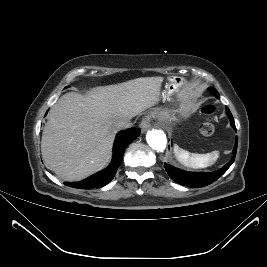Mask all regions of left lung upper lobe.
<instances>
[{
  "instance_id": "obj_1",
  "label": "left lung upper lobe",
  "mask_w": 267,
  "mask_h": 267,
  "mask_svg": "<svg viewBox=\"0 0 267 267\" xmlns=\"http://www.w3.org/2000/svg\"><path fill=\"white\" fill-rule=\"evenodd\" d=\"M212 94H213L214 96H216V97H219V94H218V92H217L215 89L213 90Z\"/></svg>"
}]
</instances>
